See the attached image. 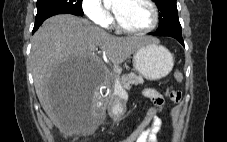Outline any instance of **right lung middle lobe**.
Wrapping results in <instances>:
<instances>
[{
	"mask_svg": "<svg viewBox=\"0 0 227 142\" xmlns=\"http://www.w3.org/2000/svg\"><path fill=\"white\" fill-rule=\"evenodd\" d=\"M82 0H37L36 18L48 17L60 13L83 15Z\"/></svg>",
	"mask_w": 227,
	"mask_h": 142,
	"instance_id": "obj_1",
	"label": "right lung middle lobe"
}]
</instances>
